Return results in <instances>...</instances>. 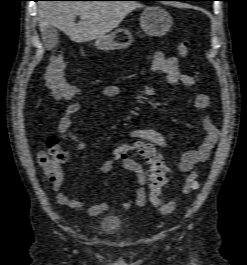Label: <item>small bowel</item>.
Instances as JSON below:
<instances>
[{"mask_svg":"<svg viewBox=\"0 0 247 265\" xmlns=\"http://www.w3.org/2000/svg\"><path fill=\"white\" fill-rule=\"evenodd\" d=\"M151 68L154 73L162 74L165 77L167 83L171 85H185L194 86L196 83L195 78L192 75L185 74L179 67V61L175 56L166 55L162 52H156L153 57ZM145 93L149 96L156 95V91L152 86H146ZM121 89L117 85H107L97 92L105 98H113L120 94ZM192 104L198 109H208L210 107V97L207 94L199 93L194 95ZM82 108L80 102H74L66 108L65 114L60 118L58 123V133L60 138L66 142L72 143L78 150H82L86 143L83 138L77 135L71 130L72 119L71 116L79 112ZM203 128L205 135L202 138L199 146L194 150L186 151L182 154L180 160L177 163V168L181 172L191 171L196 164L205 162L211 153V150L216 145L220 132L218 128L213 124L211 116L207 115L203 119ZM132 138H135L137 142H145L154 145L155 147H167L168 140L162 133L151 128H134L129 132ZM46 151L51 154H60L62 156L61 165L56 168H49L45 165L42 154H39L38 160L41 166H43L45 174L55 192H57V201L64 206H68L77 211L85 212L90 216L100 215L108 210V204L106 202H98L90 206H86L85 201L79 199H73L68 194L60 192L63 181L64 172L63 165L69 160L68 153L62 148L60 139L57 136H50L46 141ZM113 168V161H105L98 169L99 173H107ZM123 168L129 171L137 182L136 198L133 202L128 199L122 204L124 209H129L135 203L138 207H142L146 204L147 193L145 185L147 182V175L143 166L132 158H127L123 161Z\"/></svg>","mask_w":247,"mask_h":265,"instance_id":"1","label":"small bowel"}]
</instances>
